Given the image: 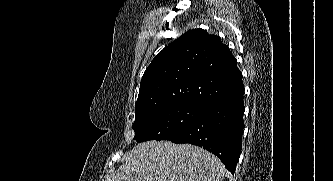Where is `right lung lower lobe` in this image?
Listing matches in <instances>:
<instances>
[{"label":"right lung lower lobe","instance_id":"1","mask_svg":"<svg viewBox=\"0 0 333 181\" xmlns=\"http://www.w3.org/2000/svg\"><path fill=\"white\" fill-rule=\"evenodd\" d=\"M243 94L244 90L208 104L187 129L169 140L203 147L217 155L234 174L244 131Z\"/></svg>","mask_w":333,"mask_h":181}]
</instances>
